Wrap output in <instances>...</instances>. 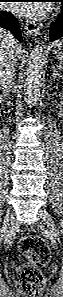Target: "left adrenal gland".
<instances>
[{"label":"left adrenal gland","instance_id":"obj_1","mask_svg":"<svg viewBox=\"0 0 63 297\" xmlns=\"http://www.w3.org/2000/svg\"><path fill=\"white\" fill-rule=\"evenodd\" d=\"M53 74H52V77H53V81H55V79H57V78H61V75H60V73H59V71L55 68V67H53Z\"/></svg>","mask_w":63,"mask_h":297}]
</instances>
